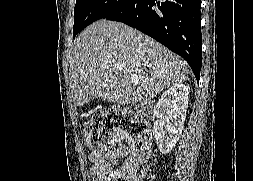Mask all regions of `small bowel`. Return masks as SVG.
<instances>
[{
    "mask_svg": "<svg viewBox=\"0 0 253 181\" xmlns=\"http://www.w3.org/2000/svg\"><path fill=\"white\" fill-rule=\"evenodd\" d=\"M131 152L128 145H119L116 149L93 151L89 155L93 181H111V177L120 171L116 166L119 159L127 157Z\"/></svg>",
    "mask_w": 253,
    "mask_h": 181,
    "instance_id": "obj_1",
    "label": "small bowel"
}]
</instances>
